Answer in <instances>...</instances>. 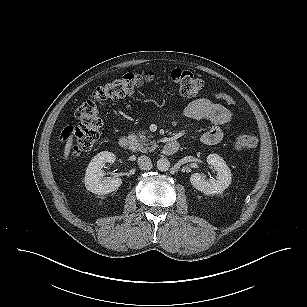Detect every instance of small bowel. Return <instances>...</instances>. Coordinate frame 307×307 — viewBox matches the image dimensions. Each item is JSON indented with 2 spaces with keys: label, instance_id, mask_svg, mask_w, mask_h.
I'll return each instance as SVG.
<instances>
[{
  "label": "small bowel",
  "instance_id": "small-bowel-1",
  "mask_svg": "<svg viewBox=\"0 0 307 307\" xmlns=\"http://www.w3.org/2000/svg\"><path fill=\"white\" fill-rule=\"evenodd\" d=\"M233 98L223 92H218L212 98H199L191 101L184 113L194 120H206L210 126L201 134V141L207 145L219 143L230 127L232 113L227 105H233Z\"/></svg>",
  "mask_w": 307,
  "mask_h": 307
}]
</instances>
